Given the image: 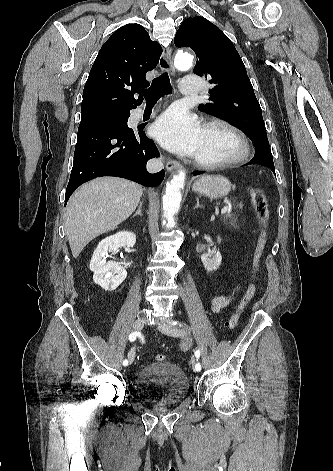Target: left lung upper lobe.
Returning a JSON list of instances; mask_svg holds the SVG:
<instances>
[{
	"label": "left lung upper lobe",
	"instance_id": "left-lung-upper-lobe-1",
	"mask_svg": "<svg viewBox=\"0 0 333 471\" xmlns=\"http://www.w3.org/2000/svg\"><path fill=\"white\" fill-rule=\"evenodd\" d=\"M174 42L177 47L194 50L198 57L194 73L213 84L209 102L200 104L199 109L248 134L255 145V156H272L261 107L230 39L213 23L196 16L182 22Z\"/></svg>",
	"mask_w": 333,
	"mask_h": 471
}]
</instances>
